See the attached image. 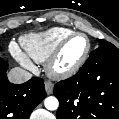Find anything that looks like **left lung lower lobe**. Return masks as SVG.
<instances>
[{
	"label": "left lung lower lobe",
	"mask_w": 119,
	"mask_h": 119,
	"mask_svg": "<svg viewBox=\"0 0 119 119\" xmlns=\"http://www.w3.org/2000/svg\"><path fill=\"white\" fill-rule=\"evenodd\" d=\"M53 94L57 119H119V49L109 42L98 47Z\"/></svg>",
	"instance_id": "0a47b994"
}]
</instances>
